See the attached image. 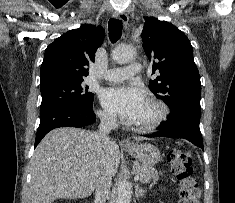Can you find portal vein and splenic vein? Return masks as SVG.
<instances>
[{
  "mask_svg": "<svg viewBox=\"0 0 235 203\" xmlns=\"http://www.w3.org/2000/svg\"><path fill=\"white\" fill-rule=\"evenodd\" d=\"M76 175H77L78 177H84V176H85V174H83V173H76ZM134 180H135V181H138V180H139V176L136 175V176L134 177Z\"/></svg>",
  "mask_w": 235,
  "mask_h": 203,
  "instance_id": "1",
  "label": "portal vein and splenic vein"
}]
</instances>
